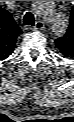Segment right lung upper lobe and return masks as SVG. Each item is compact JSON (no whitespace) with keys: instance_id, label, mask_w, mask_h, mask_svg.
Instances as JSON below:
<instances>
[{"instance_id":"1","label":"right lung upper lobe","mask_w":74,"mask_h":122,"mask_svg":"<svg viewBox=\"0 0 74 122\" xmlns=\"http://www.w3.org/2000/svg\"><path fill=\"white\" fill-rule=\"evenodd\" d=\"M22 31L10 13L0 7V60L6 59L14 50L16 39Z\"/></svg>"}]
</instances>
